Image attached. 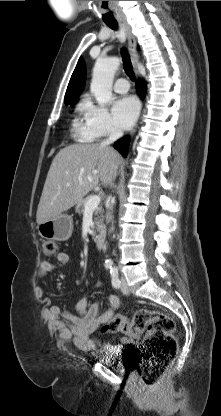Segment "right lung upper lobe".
<instances>
[{"mask_svg": "<svg viewBox=\"0 0 221 416\" xmlns=\"http://www.w3.org/2000/svg\"><path fill=\"white\" fill-rule=\"evenodd\" d=\"M85 66L80 58L76 68L71 76L67 91L65 94V103L77 101L85 83Z\"/></svg>", "mask_w": 221, "mask_h": 416, "instance_id": "right-lung-upper-lobe-1", "label": "right lung upper lobe"}]
</instances>
